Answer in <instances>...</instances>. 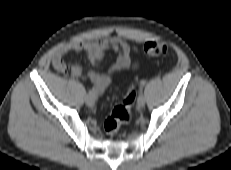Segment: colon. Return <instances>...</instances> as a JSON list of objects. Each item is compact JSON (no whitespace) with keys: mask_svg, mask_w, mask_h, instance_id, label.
I'll return each instance as SVG.
<instances>
[{"mask_svg":"<svg viewBox=\"0 0 231 170\" xmlns=\"http://www.w3.org/2000/svg\"><path fill=\"white\" fill-rule=\"evenodd\" d=\"M144 51L150 56H167L170 60L174 55L168 52V47L160 41H148L144 44ZM136 92L131 86L122 104L116 106L104 122V129L110 135H116L122 124L131 119V109L134 104Z\"/></svg>","mask_w":231,"mask_h":170,"instance_id":"colon-1","label":"colon"}]
</instances>
